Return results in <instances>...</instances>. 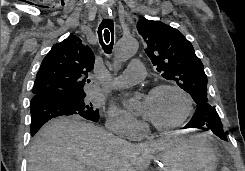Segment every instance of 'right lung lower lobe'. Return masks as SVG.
Wrapping results in <instances>:
<instances>
[{
    "label": "right lung lower lobe",
    "instance_id": "obj_1",
    "mask_svg": "<svg viewBox=\"0 0 245 171\" xmlns=\"http://www.w3.org/2000/svg\"><path fill=\"white\" fill-rule=\"evenodd\" d=\"M31 111V136L42 127L48 120L63 116L77 114L84 117L87 120L98 122L99 118H89L80 114L71 106L61 102L54 97H39L33 98L30 103Z\"/></svg>",
    "mask_w": 245,
    "mask_h": 171
}]
</instances>
